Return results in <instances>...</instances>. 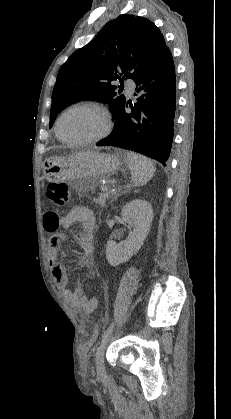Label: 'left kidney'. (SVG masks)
Instances as JSON below:
<instances>
[{
	"label": "left kidney",
	"instance_id": "obj_1",
	"mask_svg": "<svg viewBox=\"0 0 231 419\" xmlns=\"http://www.w3.org/2000/svg\"><path fill=\"white\" fill-rule=\"evenodd\" d=\"M122 219L129 224V235L119 244L109 240L106 246V258L111 266H118L128 261L143 245L153 220V210L145 200H133L126 204L121 212Z\"/></svg>",
	"mask_w": 231,
	"mask_h": 419
}]
</instances>
